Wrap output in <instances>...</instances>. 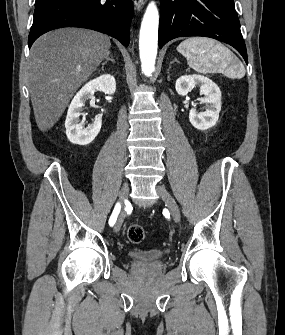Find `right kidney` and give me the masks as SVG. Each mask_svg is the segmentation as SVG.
<instances>
[{"instance_id":"ca27d5eb","label":"right kidney","mask_w":285,"mask_h":335,"mask_svg":"<svg viewBox=\"0 0 285 335\" xmlns=\"http://www.w3.org/2000/svg\"><path fill=\"white\" fill-rule=\"evenodd\" d=\"M96 88H99L104 94H115L116 82L114 76L110 74H104L99 76L95 80H91L88 84H85L76 96H74L69 110L67 112V118L65 120L66 136L72 144H78V146H87L90 142L95 140L97 134H99L102 126V114H98L97 118H94L93 124H90L88 128H84V122H80V116H86L81 114L85 106L86 100L92 98Z\"/></svg>"}]
</instances>
